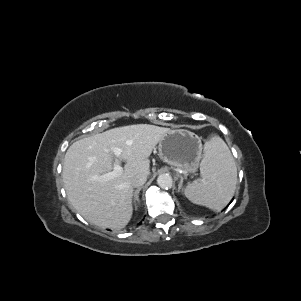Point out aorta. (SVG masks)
Masks as SVG:
<instances>
[{
  "mask_svg": "<svg viewBox=\"0 0 301 301\" xmlns=\"http://www.w3.org/2000/svg\"><path fill=\"white\" fill-rule=\"evenodd\" d=\"M172 183L173 179L169 174H160L157 178V184L162 189H169Z\"/></svg>",
  "mask_w": 301,
  "mask_h": 301,
  "instance_id": "762f6f07",
  "label": "aorta"
}]
</instances>
